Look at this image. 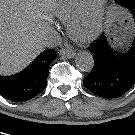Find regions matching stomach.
<instances>
[{
    "label": "stomach",
    "instance_id": "1",
    "mask_svg": "<svg viewBox=\"0 0 135 135\" xmlns=\"http://www.w3.org/2000/svg\"><path fill=\"white\" fill-rule=\"evenodd\" d=\"M110 16H111V15H110ZM122 27H124V26H123V25H121V26H114V28H113V30H112V34H113L114 36H116L118 33L121 34V32H122V30H123Z\"/></svg>",
    "mask_w": 135,
    "mask_h": 135
}]
</instances>
